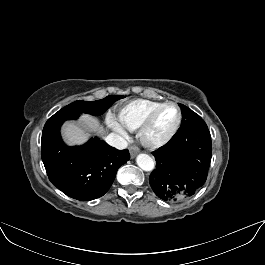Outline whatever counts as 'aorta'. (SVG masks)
<instances>
[{"instance_id": "1", "label": "aorta", "mask_w": 265, "mask_h": 265, "mask_svg": "<svg viewBox=\"0 0 265 265\" xmlns=\"http://www.w3.org/2000/svg\"><path fill=\"white\" fill-rule=\"evenodd\" d=\"M137 165L144 171H152L154 169V160L147 154H139L136 158Z\"/></svg>"}]
</instances>
